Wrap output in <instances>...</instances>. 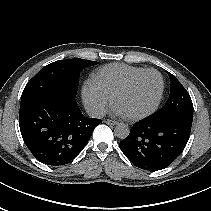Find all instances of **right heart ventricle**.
<instances>
[{
	"mask_svg": "<svg viewBox=\"0 0 211 211\" xmlns=\"http://www.w3.org/2000/svg\"><path fill=\"white\" fill-rule=\"evenodd\" d=\"M145 70L142 67L126 64H109L100 68L92 77V80L103 88L111 96L123 86L131 77Z\"/></svg>",
	"mask_w": 211,
	"mask_h": 211,
	"instance_id": "e07e8e85",
	"label": "right heart ventricle"
}]
</instances>
